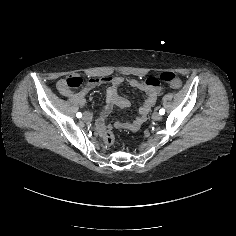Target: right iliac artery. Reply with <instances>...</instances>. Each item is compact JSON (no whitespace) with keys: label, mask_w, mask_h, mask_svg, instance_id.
Instances as JSON below:
<instances>
[{"label":"right iliac artery","mask_w":236,"mask_h":236,"mask_svg":"<svg viewBox=\"0 0 236 236\" xmlns=\"http://www.w3.org/2000/svg\"><path fill=\"white\" fill-rule=\"evenodd\" d=\"M76 116H77V118H81V117H82V114H81L80 112H78V113L76 114Z\"/></svg>","instance_id":"1"}]
</instances>
